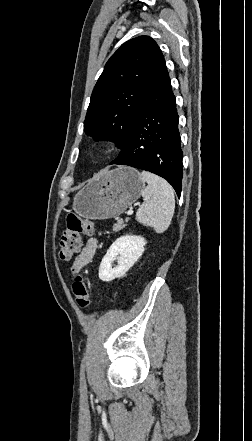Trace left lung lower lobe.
I'll return each instance as SVG.
<instances>
[{
  "label": "left lung lower lobe",
  "instance_id": "1",
  "mask_svg": "<svg viewBox=\"0 0 252 441\" xmlns=\"http://www.w3.org/2000/svg\"><path fill=\"white\" fill-rule=\"evenodd\" d=\"M178 120L175 96L162 55L127 141L110 164L128 165L157 174L180 196L182 150Z\"/></svg>",
  "mask_w": 252,
  "mask_h": 441
}]
</instances>
